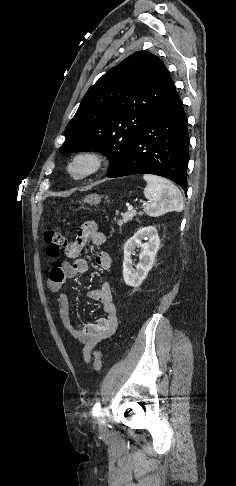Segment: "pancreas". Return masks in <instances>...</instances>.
I'll return each mask as SVG.
<instances>
[{
    "mask_svg": "<svg viewBox=\"0 0 236 486\" xmlns=\"http://www.w3.org/2000/svg\"><path fill=\"white\" fill-rule=\"evenodd\" d=\"M137 213L135 211H128L124 214H121L122 219L117 221V224L119 226H122L123 224L127 223L128 221H131L134 216H136Z\"/></svg>",
    "mask_w": 236,
    "mask_h": 486,
    "instance_id": "obj_1",
    "label": "pancreas"
}]
</instances>
